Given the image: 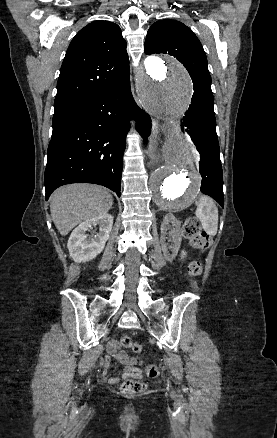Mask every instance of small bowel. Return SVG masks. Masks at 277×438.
Listing matches in <instances>:
<instances>
[{
	"label": "small bowel",
	"instance_id": "obj_1",
	"mask_svg": "<svg viewBox=\"0 0 277 438\" xmlns=\"http://www.w3.org/2000/svg\"><path fill=\"white\" fill-rule=\"evenodd\" d=\"M110 349H112L113 351V355L114 357L121 362V364L123 365V377L124 378H133V377H137L140 374V369L139 366L142 364V360L135 358V357H131L130 355H128L127 353L121 351L119 349V346L117 344V342L112 341L109 344ZM103 367L108 368L111 365L110 360L105 359L102 362ZM107 377H109L107 375Z\"/></svg>",
	"mask_w": 277,
	"mask_h": 438
}]
</instances>
